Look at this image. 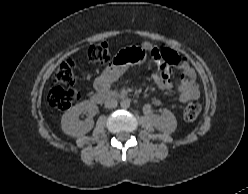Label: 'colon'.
Listing matches in <instances>:
<instances>
[{
  "instance_id": "5ec220e1",
  "label": "colon",
  "mask_w": 248,
  "mask_h": 194,
  "mask_svg": "<svg viewBox=\"0 0 248 194\" xmlns=\"http://www.w3.org/2000/svg\"><path fill=\"white\" fill-rule=\"evenodd\" d=\"M141 52L137 49L127 51L122 60L134 62ZM172 51L165 48H156L151 56L158 64L164 61L172 62ZM88 57L94 62L108 64L111 62V54L106 42H99L92 45L88 50ZM76 62L73 59L65 60L57 69L54 81L51 83L47 95L48 104L58 110H67L76 104L79 100V92L72 87L63 85L72 84L75 79ZM201 111V103L198 99L191 100L184 108L183 116L188 122L197 119Z\"/></svg>"
}]
</instances>
